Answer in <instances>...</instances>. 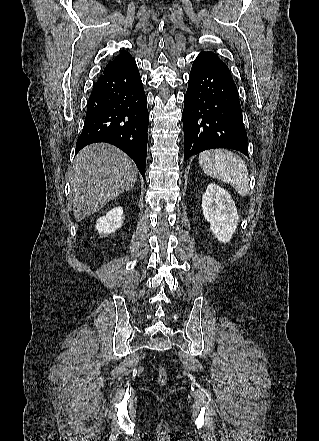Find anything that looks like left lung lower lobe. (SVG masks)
<instances>
[{"mask_svg": "<svg viewBox=\"0 0 319 441\" xmlns=\"http://www.w3.org/2000/svg\"><path fill=\"white\" fill-rule=\"evenodd\" d=\"M185 160L212 148L248 156L238 90L229 68L207 53L195 59L183 109Z\"/></svg>", "mask_w": 319, "mask_h": 441, "instance_id": "left-lung-lower-lobe-1", "label": "left lung lower lobe"}]
</instances>
